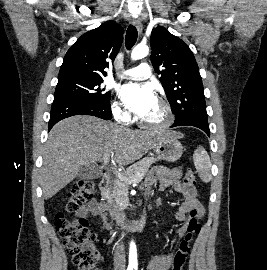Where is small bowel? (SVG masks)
I'll return each instance as SVG.
<instances>
[{
    "mask_svg": "<svg viewBox=\"0 0 267 270\" xmlns=\"http://www.w3.org/2000/svg\"><path fill=\"white\" fill-rule=\"evenodd\" d=\"M155 183H158L160 191L173 186L175 191L183 196V202L175 213L176 219L184 222L177 231L182 241L187 234L189 220L193 216H197L200 219L204 214V208L197 197V190L195 186L188 185L182 181V171L178 168L166 169L156 167L146 178L147 187H151ZM77 216L85 220L90 216L97 218L100 222L99 232L111 228L105 204L96 200H91L82 205L77 211ZM173 256V252L154 255L150 262L151 270H168Z\"/></svg>",
    "mask_w": 267,
    "mask_h": 270,
    "instance_id": "obj_1",
    "label": "small bowel"
}]
</instances>
